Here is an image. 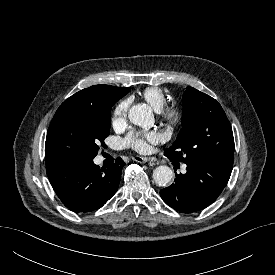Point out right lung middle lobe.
Segmentation results:
<instances>
[{
	"label": "right lung middle lobe",
	"instance_id": "obj_1",
	"mask_svg": "<svg viewBox=\"0 0 275 275\" xmlns=\"http://www.w3.org/2000/svg\"><path fill=\"white\" fill-rule=\"evenodd\" d=\"M114 101L101 108H84L53 117L46 137L45 160H93L110 133Z\"/></svg>",
	"mask_w": 275,
	"mask_h": 275
}]
</instances>
